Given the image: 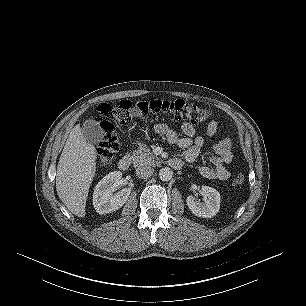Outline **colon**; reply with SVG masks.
Segmentation results:
<instances>
[{"mask_svg": "<svg viewBox=\"0 0 306 306\" xmlns=\"http://www.w3.org/2000/svg\"><path fill=\"white\" fill-rule=\"evenodd\" d=\"M168 114L179 121L191 125L204 122L210 116L207 108L188 103L184 100H122L115 104L102 103L97 108L98 123L102 132L97 154V164L100 168L107 167L119 150V138L116 125H126L134 119L149 115ZM244 176L238 174L233 180L234 186H240Z\"/></svg>", "mask_w": 306, "mask_h": 306, "instance_id": "obj_1", "label": "colon"}]
</instances>
